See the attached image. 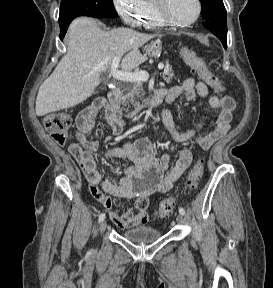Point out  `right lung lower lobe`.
Wrapping results in <instances>:
<instances>
[{
  "label": "right lung lower lobe",
  "mask_w": 273,
  "mask_h": 288,
  "mask_svg": "<svg viewBox=\"0 0 273 288\" xmlns=\"http://www.w3.org/2000/svg\"><path fill=\"white\" fill-rule=\"evenodd\" d=\"M71 21H72V20H70V21H68V22L60 25V30H61V31H60V39H61V40H63V38H64V36H65V34H66V31H67V29H68V26H69V24L71 23Z\"/></svg>",
  "instance_id": "right-lung-lower-lobe-1"
}]
</instances>
